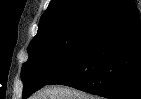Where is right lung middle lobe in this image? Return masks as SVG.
<instances>
[{"mask_svg":"<svg viewBox=\"0 0 141 99\" xmlns=\"http://www.w3.org/2000/svg\"><path fill=\"white\" fill-rule=\"evenodd\" d=\"M100 22H81L34 38L22 66L23 98L46 85L84 48Z\"/></svg>","mask_w":141,"mask_h":99,"instance_id":"1","label":"right lung middle lobe"}]
</instances>
